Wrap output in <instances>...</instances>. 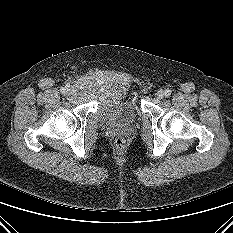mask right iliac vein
I'll return each instance as SVG.
<instances>
[{
  "label": "right iliac vein",
  "instance_id": "right-iliac-vein-1",
  "mask_svg": "<svg viewBox=\"0 0 233 233\" xmlns=\"http://www.w3.org/2000/svg\"><path fill=\"white\" fill-rule=\"evenodd\" d=\"M66 94H67V96L72 95V94H73V90H72V89H68V90L66 91Z\"/></svg>",
  "mask_w": 233,
  "mask_h": 233
}]
</instances>
